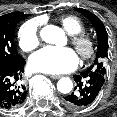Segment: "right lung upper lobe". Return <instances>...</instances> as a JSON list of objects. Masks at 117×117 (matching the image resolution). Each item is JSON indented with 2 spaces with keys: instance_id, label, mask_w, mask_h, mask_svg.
<instances>
[{
  "instance_id": "1",
  "label": "right lung upper lobe",
  "mask_w": 117,
  "mask_h": 117,
  "mask_svg": "<svg viewBox=\"0 0 117 117\" xmlns=\"http://www.w3.org/2000/svg\"><path fill=\"white\" fill-rule=\"evenodd\" d=\"M13 13H21V12H13Z\"/></svg>"
}]
</instances>
